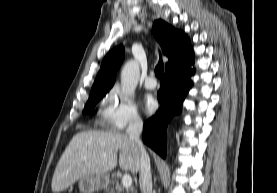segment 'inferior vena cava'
Wrapping results in <instances>:
<instances>
[{
  "label": "inferior vena cava",
  "mask_w": 277,
  "mask_h": 193,
  "mask_svg": "<svg viewBox=\"0 0 277 193\" xmlns=\"http://www.w3.org/2000/svg\"><path fill=\"white\" fill-rule=\"evenodd\" d=\"M143 129V122L137 115L131 116L126 130L130 140H132L140 154L139 185L142 193H152V179L150 172V158L145 147L140 140V134Z\"/></svg>",
  "instance_id": "1"
}]
</instances>
